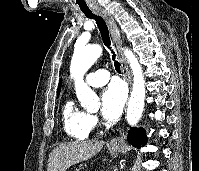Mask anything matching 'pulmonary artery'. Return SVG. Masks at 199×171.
Returning a JSON list of instances; mask_svg holds the SVG:
<instances>
[{
    "label": "pulmonary artery",
    "instance_id": "e3ab8cb5",
    "mask_svg": "<svg viewBox=\"0 0 199 171\" xmlns=\"http://www.w3.org/2000/svg\"><path fill=\"white\" fill-rule=\"evenodd\" d=\"M109 80V73L104 69L91 72L86 76V82L93 87L104 85Z\"/></svg>",
    "mask_w": 199,
    "mask_h": 171
}]
</instances>
